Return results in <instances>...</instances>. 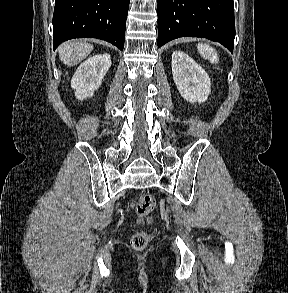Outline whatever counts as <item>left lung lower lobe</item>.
<instances>
[{
    "mask_svg": "<svg viewBox=\"0 0 288 293\" xmlns=\"http://www.w3.org/2000/svg\"><path fill=\"white\" fill-rule=\"evenodd\" d=\"M158 47L179 37H204L233 53V0H158Z\"/></svg>",
    "mask_w": 288,
    "mask_h": 293,
    "instance_id": "1",
    "label": "left lung lower lobe"
}]
</instances>
